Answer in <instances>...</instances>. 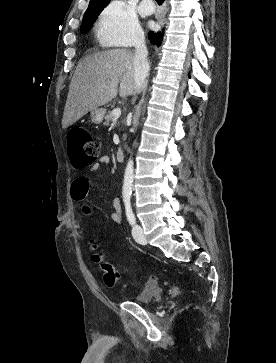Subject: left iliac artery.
<instances>
[{
  "instance_id": "1",
  "label": "left iliac artery",
  "mask_w": 276,
  "mask_h": 363,
  "mask_svg": "<svg viewBox=\"0 0 276 363\" xmlns=\"http://www.w3.org/2000/svg\"><path fill=\"white\" fill-rule=\"evenodd\" d=\"M125 210H126V216L131 225H134L136 222L134 213L132 211L131 202L130 200H125Z\"/></svg>"
}]
</instances>
